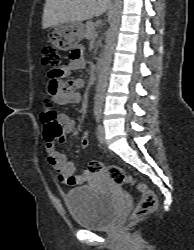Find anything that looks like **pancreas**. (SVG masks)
Here are the masks:
<instances>
[{
	"label": "pancreas",
	"mask_w": 194,
	"mask_h": 250,
	"mask_svg": "<svg viewBox=\"0 0 194 250\" xmlns=\"http://www.w3.org/2000/svg\"><path fill=\"white\" fill-rule=\"evenodd\" d=\"M96 31V25L94 22L92 21H88L85 24V28H84V37L86 39H93L95 38L94 33Z\"/></svg>",
	"instance_id": "cf45deb5"
}]
</instances>
